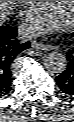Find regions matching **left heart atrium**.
Wrapping results in <instances>:
<instances>
[{
	"instance_id": "obj_1",
	"label": "left heart atrium",
	"mask_w": 74,
	"mask_h": 122,
	"mask_svg": "<svg viewBox=\"0 0 74 122\" xmlns=\"http://www.w3.org/2000/svg\"><path fill=\"white\" fill-rule=\"evenodd\" d=\"M64 19L45 5L39 8L27 21L26 30L30 34H46L62 28Z\"/></svg>"
}]
</instances>
